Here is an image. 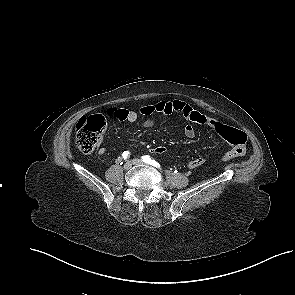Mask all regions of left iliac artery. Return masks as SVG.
<instances>
[{
    "label": "left iliac artery",
    "mask_w": 295,
    "mask_h": 295,
    "mask_svg": "<svg viewBox=\"0 0 295 295\" xmlns=\"http://www.w3.org/2000/svg\"><path fill=\"white\" fill-rule=\"evenodd\" d=\"M142 161L149 164V165H152L156 168H160V164L158 162H156L154 159H152L150 156L148 155H145V156H142Z\"/></svg>",
    "instance_id": "obj_1"
}]
</instances>
